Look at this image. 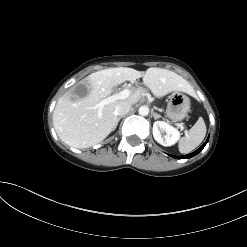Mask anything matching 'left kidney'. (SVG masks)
I'll list each match as a JSON object with an SVG mask.
<instances>
[{
  "label": "left kidney",
  "instance_id": "1",
  "mask_svg": "<svg viewBox=\"0 0 247 247\" xmlns=\"http://www.w3.org/2000/svg\"><path fill=\"white\" fill-rule=\"evenodd\" d=\"M165 132L164 137L161 133ZM153 137L163 146H172L180 138L179 131L164 121H155L153 124Z\"/></svg>",
  "mask_w": 247,
  "mask_h": 247
}]
</instances>
